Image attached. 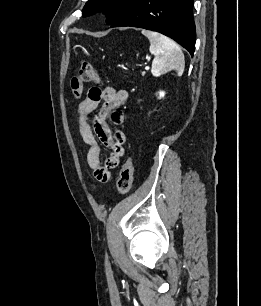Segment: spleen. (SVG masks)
Listing matches in <instances>:
<instances>
[{"label":"spleen","instance_id":"1","mask_svg":"<svg viewBox=\"0 0 261 306\" xmlns=\"http://www.w3.org/2000/svg\"><path fill=\"white\" fill-rule=\"evenodd\" d=\"M150 41V53L154 55L151 73L158 77L162 74L175 70L181 76L185 68L184 54L180 46L169 37L160 33L143 30Z\"/></svg>","mask_w":261,"mask_h":306}]
</instances>
